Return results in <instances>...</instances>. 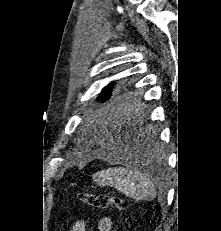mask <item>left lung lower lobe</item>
Listing matches in <instances>:
<instances>
[{"label":"left lung lower lobe","instance_id":"1","mask_svg":"<svg viewBox=\"0 0 221 231\" xmlns=\"http://www.w3.org/2000/svg\"><path fill=\"white\" fill-rule=\"evenodd\" d=\"M117 139L123 144L122 151L136 155L134 151L144 149L155 152L157 150L154 138L147 133L146 124L135 121L130 115H123L118 119ZM139 154V153H138Z\"/></svg>","mask_w":221,"mask_h":231}]
</instances>
